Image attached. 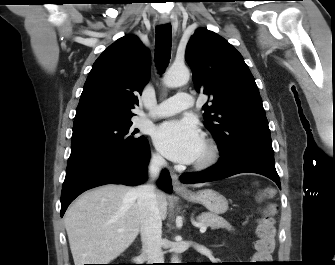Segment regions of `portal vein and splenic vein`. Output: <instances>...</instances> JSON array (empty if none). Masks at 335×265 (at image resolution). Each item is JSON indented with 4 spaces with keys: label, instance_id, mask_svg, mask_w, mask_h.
<instances>
[{
    "label": "portal vein and splenic vein",
    "instance_id": "1",
    "mask_svg": "<svg viewBox=\"0 0 335 265\" xmlns=\"http://www.w3.org/2000/svg\"><path fill=\"white\" fill-rule=\"evenodd\" d=\"M206 229H207V226H206V225H204V224H201V225H200V232H201V233H204V232L206 231Z\"/></svg>",
    "mask_w": 335,
    "mask_h": 265
}]
</instances>
